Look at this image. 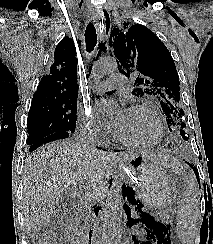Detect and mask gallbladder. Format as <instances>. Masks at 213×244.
<instances>
[{
	"label": "gallbladder",
	"mask_w": 213,
	"mask_h": 244,
	"mask_svg": "<svg viewBox=\"0 0 213 244\" xmlns=\"http://www.w3.org/2000/svg\"><path fill=\"white\" fill-rule=\"evenodd\" d=\"M70 213L64 206H58L50 217L47 228L53 231H62L69 222Z\"/></svg>",
	"instance_id": "bac80fb5"
}]
</instances>
